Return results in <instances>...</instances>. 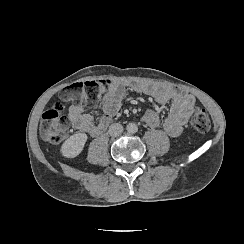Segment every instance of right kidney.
<instances>
[{
	"instance_id": "ca27d5eb",
	"label": "right kidney",
	"mask_w": 244,
	"mask_h": 244,
	"mask_svg": "<svg viewBox=\"0 0 244 244\" xmlns=\"http://www.w3.org/2000/svg\"><path fill=\"white\" fill-rule=\"evenodd\" d=\"M88 140L86 133H75L66 139L60 147L64 158L72 159L81 154Z\"/></svg>"
}]
</instances>
